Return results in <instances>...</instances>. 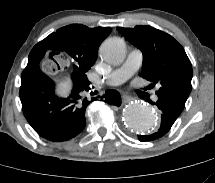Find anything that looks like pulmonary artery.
Here are the masks:
<instances>
[{
    "instance_id": "obj_1",
    "label": "pulmonary artery",
    "mask_w": 215,
    "mask_h": 183,
    "mask_svg": "<svg viewBox=\"0 0 215 183\" xmlns=\"http://www.w3.org/2000/svg\"><path fill=\"white\" fill-rule=\"evenodd\" d=\"M143 61V54L139 49H133L124 64L112 71L103 79V83L109 86H117L127 81L138 69L141 67ZM158 97L153 95V100L156 101Z\"/></svg>"
}]
</instances>
